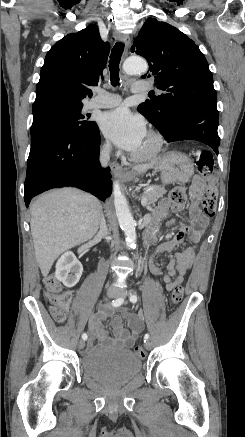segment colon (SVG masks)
Instances as JSON below:
<instances>
[{"instance_id":"obj_1","label":"colon","mask_w":245,"mask_h":437,"mask_svg":"<svg viewBox=\"0 0 245 437\" xmlns=\"http://www.w3.org/2000/svg\"><path fill=\"white\" fill-rule=\"evenodd\" d=\"M196 166L199 174L207 181L208 188L205 196L202 199V210L205 215L212 216L215 212L217 190L212 182L213 173V156L208 151H199L196 153ZM169 200L176 204H182L186 200V189L184 187H175L169 194ZM45 298L51 306L53 316L57 322H62L65 319L68 310L71 295L68 292H63L59 282L49 276L44 281ZM183 298V289L175 287L171 293L170 302L172 305H177ZM134 352L139 357L145 356V351L141 346H136Z\"/></svg>"}]
</instances>
